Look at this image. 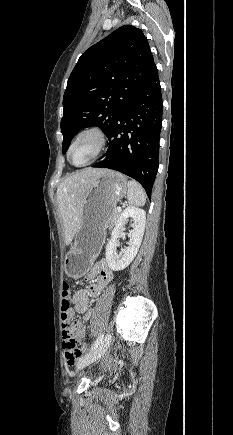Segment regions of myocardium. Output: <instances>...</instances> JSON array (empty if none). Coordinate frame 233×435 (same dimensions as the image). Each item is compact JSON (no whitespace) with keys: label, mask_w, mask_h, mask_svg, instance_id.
Wrapping results in <instances>:
<instances>
[{"label":"myocardium","mask_w":233,"mask_h":435,"mask_svg":"<svg viewBox=\"0 0 233 435\" xmlns=\"http://www.w3.org/2000/svg\"><path fill=\"white\" fill-rule=\"evenodd\" d=\"M84 139H91L94 141V143H95L94 152H93L91 158L88 159L86 162H84L82 164H74L70 160L71 150L78 142H80L81 140H84ZM106 141H107L106 133L101 128L96 127V126H88V127L82 128L81 130H79L75 134V136L73 137L72 141L70 142V144L68 146L67 153H66V157H67L68 162L74 167H86V166L92 164L93 162H95L98 159V157L102 153V151L106 145Z\"/></svg>","instance_id":"1"}]
</instances>
